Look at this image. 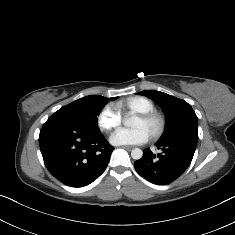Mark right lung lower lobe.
Masks as SVG:
<instances>
[{"label":"right lung lower lobe","mask_w":235,"mask_h":235,"mask_svg":"<svg viewBox=\"0 0 235 235\" xmlns=\"http://www.w3.org/2000/svg\"><path fill=\"white\" fill-rule=\"evenodd\" d=\"M39 144L48 171L71 187H83L96 180L114 150L100 130L52 117L40 130Z\"/></svg>","instance_id":"obj_1"}]
</instances>
